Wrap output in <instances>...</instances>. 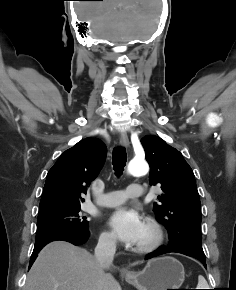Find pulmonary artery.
I'll use <instances>...</instances> for the list:
<instances>
[{"label":"pulmonary artery","mask_w":236,"mask_h":290,"mask_svg":"<svg viewBox=\"0 0 236 290\" xmlns=\"http://www.w3.org/2000/svg\"><path fill=\"white\" fill-rule=\"evenodd\" d=\"M142 188L137 184H130L124 191H113L103 195L99 203L105 207H114L124 203L128 198H140Z\"/></svg>","instance_id":"e3ab8cb5"}]
</instances>
